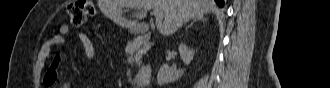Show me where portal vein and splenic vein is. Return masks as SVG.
<instances>
[{
	"label": "portal vein and splenic vein",
	"instance_id": "portal-vein-and-splenic-vein-1",
	"mask_svg": "<svg viewBox=\"0 0 330 88\" xmlns=\"http://www.w3.org/2000/svg\"><path fill=\"white\" fill-rule=\"evenodd\" d=\"M152 14L155 16L156 25L160 26L163 20V12L159 11L158 9H154Z\"/></svg>",
	"mask_w": 330,
	"mask_h": 88
}]
</instances>
